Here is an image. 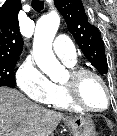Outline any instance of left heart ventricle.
<instances>
[{"instance_id": "b2bd125f", "label": "left heart ventricle", "mask_w": 117, "mask_h": 136, "mask_svg": "<svg viewBox=\"0 0 117 136\" xmlns=\"http://www.w3.org/2000/svg\"><path fill=\"white\" fill-rule=\"evenodd\" d=\"M69 74L63 83L68 82ZM79 97L89 108L102 109L107 104V94L102 84L93 76L84 77L79 83Z\"/></svg>"}]
</instances>
